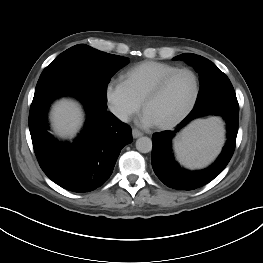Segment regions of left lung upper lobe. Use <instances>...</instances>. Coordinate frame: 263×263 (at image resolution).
<instances>
[{"mask_svg": "<svg viewBox=\"0 0 263 263\" xmlns=\"http://www.w3.org/2000/svg\"><path fill=\"white\" fill-rule=\"evenodd\" d=\"M174 59H182L193 65L200 74V91L196 104L215 95L235 93L228 77L210 60L192 53H183Z\"/></svg>", "mask_w": 263, "mask_h": 263, "instance_id": "left-lung-upper-lobe-1", "label": "left lung upper lobe"}]
</instances>
